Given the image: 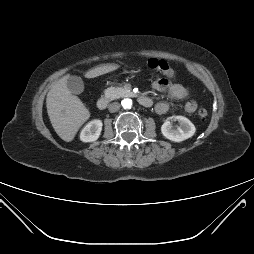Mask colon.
Returning a JSON list of instances; mask_svg holds the SVG:
<instances>
[{"label":"colon","mask_w":254,"mask_h":254,"mask_svg":"<svg viewBox=\"0 0 254 254\" xmlns=\"http://www.w3.org/2000/svg\"><path fill=\"white\" fill-rule=\"evenodd\" d=\"M147 65L150 69L157 71L169 78H173L175 76V72L170 64L163 59L152 58L149 59ZM198 115L201 119H205L208 116V112L205 108H200L198 110Z\"/></svg>","instance_id":"5ec220e1"}]
</instances>
